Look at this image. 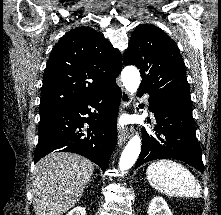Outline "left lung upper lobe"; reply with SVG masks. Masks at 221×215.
I'll use <instances>...</instances> for the list:
<instances>
[{
    "instance_id": "left-lung-upper-lobe-1",
    "label": "left lung upper lobe",
    "mask_w": 221,
    "mask_h": 215,
    "mask_svg": "<svg viewBox=\"0 0 221 215\" xmlns=\"http://www.w3.org/2000/svg\"><path fill=\"white\" fill-rule=\"evenodd\" d=\"M123 61L140 69V89L151 98L192 108L184 61L174 41L163 30L146 24L138 26Z\"/></svg>"
}]
</instances>
